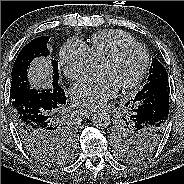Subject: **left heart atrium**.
Segmentation results:
<instances>
[{"instance_id": "1", "label": "left heart atrium", "mask_w": 184, "mask_h": 184, "mask_svg": "<svg viewBox=\"0 0 184 184\" xmlns=\"http://www.w3.org/2000/svg\"><path fill=\"white\" fill-rule=\"evenodd\" d=\"M118 90L119 86L111 76L98 73L75 83L71 93L75 104L95 109L113 98Z\"/></svg>"}]
</instances>
